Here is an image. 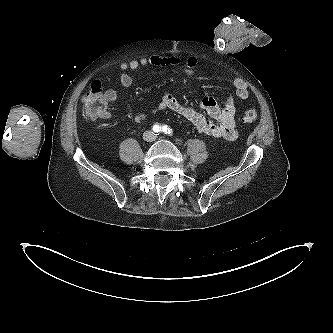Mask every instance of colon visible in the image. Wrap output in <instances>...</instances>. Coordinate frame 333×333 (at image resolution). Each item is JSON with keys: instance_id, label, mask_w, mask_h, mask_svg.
I'll use <instances>...</instances> for the list:
<instances>
[{"instance_id": "obj_1", "label": "colon", "mask_w": 333, "mask_h": 333, "mask_svg": "<svg viewBox=\"0 0 333 333\" xmlns=\"http://www.w3.org/2000/svg\"><path fill=\"white\" fill-rule=\"evenodd\" d=\"M83 118L87 122H92L97 118L104 117L107 113V104L104 98L103 86L100 81H94L89 92L83 100ZM242 121L246 124H254L258 119V113L255 108L245 109L242 115Z\"/></svg>"}]
</instances>
